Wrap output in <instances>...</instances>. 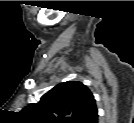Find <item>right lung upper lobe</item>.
Listing matches in <instances>:
<instances>
[{"label":"right lung upper lobe","mask_w":134,"mask_h":123,"mask_svg":"<svg viewBox=\"0 0 134 123\" xmlns=\"http://www.w3.org/2000/svg\"><path fill=\"white\" fill-rule=\"evenodd\" d=\"M21 112L36 123H97L98 120L94 96L79 81L58 84L38 103L29 104Z\"/></svg>","instance_id":"cb5924a9"}]
</instances>
